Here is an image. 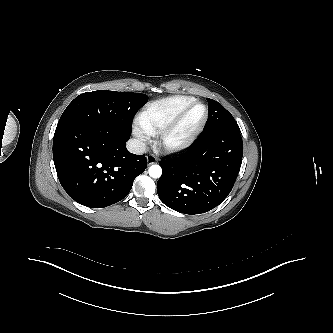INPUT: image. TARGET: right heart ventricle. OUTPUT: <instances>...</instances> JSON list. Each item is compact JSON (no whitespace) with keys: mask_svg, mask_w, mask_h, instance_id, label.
Listing matches in <instances>:
<instances>
[{"mask_svg":"<svg viewBox=\"0 0 333 333\" xmlns=\"http://www.w3.org/2000/svg\"><path fill=\"white\" fill-rule=\"evenodd\" d=\"M195 99L191 96L175 95L152 101L144 106L138 116V125L148 134L156 135L175 116Z\"/></svg>","mask_w":333,"mask_h":333,"instance_id":"right-heart-ventricle-1","label":"right heart ventricle"}]
</instances>
